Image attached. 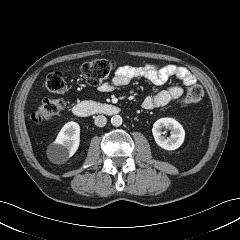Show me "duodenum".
Returning <instances> with one entry per match:
<instances>
[{"label":"duodenum","mask_w":240,"mask_h":240,"mask_svg":"<svg viewBox=\"0 0 240 240\" xmlns=\"http://www.w3.org/2000/svg\"><path fill=\"white\" fill-rule=\"evenodd\" d=\"M120 112V108L109 103H101L95 101H82L76 103L72 107V113L77 117H88L97 114L116 115Z\"/></svg>","instance_id":"410a0bca"}]
</instances>
